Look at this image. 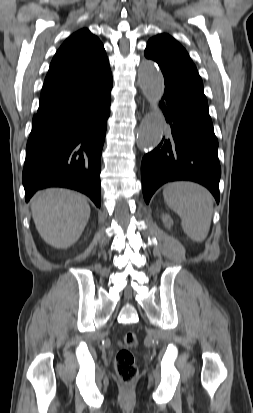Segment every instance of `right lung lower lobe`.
Instances as JSON below:
<instances>
[{"label":"right lung lower lobe","mask_w":253,"mask_h":413,"mask_svg":"<svg viewBox=\"0 0 253 413\" xmlns=\"http://www.w3.org/2000/svg\"><path fill=\"white\" fill-rule=\"evenodd\" d=\"M112 85L110 74L93 95L32 124L23 169L26 202L39 189L59 186L88 195L100 207L101 152Z\"/></svg>","instance_id":"obj_1"}]
</instances>
